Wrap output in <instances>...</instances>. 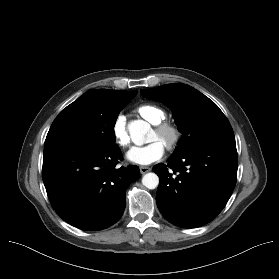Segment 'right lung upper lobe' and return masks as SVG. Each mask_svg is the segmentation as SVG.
<instances>
[{
    "label": "right lung upper lobe",
    "instance_id": "1",
    "mask_svg": "<svg viewBox=\"0 0 279 279\" xmlns=\"http://www.w3.org/2000/svg\"><path fill=\"white\" fill-rule=\"evenodd\" d=\"M88 93L103 100H118V99L134 98L135 95L137 94V92L105 90V89H96V90L89 91Z\"/></svg>",
    "mask_w": 279,
    "mask_h": 279
}]
</instances>
